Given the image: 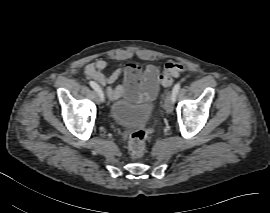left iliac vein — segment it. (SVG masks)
I'll list each match as a JSON object with an SVG mask.
<instances>
[{
    "label": "left iliac vein",
    "mask_w": 270,
    "mask_h": 213,
    "mask_svg": "<svg viewBox=\"0 0 270 213\" xmlns=\"http://www.w3.org/2000/svg\"><path fill=\"white\" fill-rule=\"evenodd\" d=\"M164 107H165L166 113H168V114L172 113V111H173V98H172L171 93H169L166 96Z\"/></svg>",
    "instance_id": "4c4485c4"
}]
</instances>
